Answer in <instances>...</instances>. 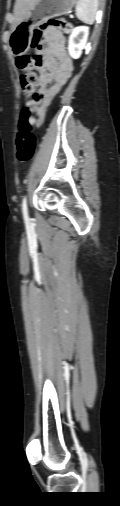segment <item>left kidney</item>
Returning <instances> with one entry per match:
<instances>
[{"instance_id":"1","label":"left kidney","mask_w":120,"mask_h":506,"mask_svg":"<svg viewBox=\"0 0 120 506\" xmlns=\"http://www.w3.org/2000/svg\"><path fill=\"white\" fill-rule=\"evenodd\" d=\"M89 35V28L80 26L73 29L68 40V52L73 59H78L85 48Z\"/></svg>"}]
</instances>
